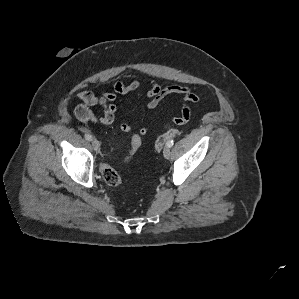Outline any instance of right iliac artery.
I'll return each mask as SVG.
<instances>
[{
	"mask_svg": "<svg viewBox=\"0 0 299 299\" xmlns=\"http://www.w3.org/2000/svg\"><path fill=\"white\" fill-rule=\"evenodd\" d=\"M85 139L88 140V141H91L92 140V136L90 134H85L84 135Z\"/></svg>",
	"mask_w": 299,
	"mask_h": 299,
	"instance_id": "82829eb1",
	"label": "right iliac artery"
}]
</instances>
